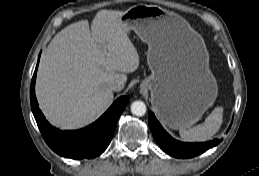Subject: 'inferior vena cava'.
I'll return each instance as SVG.
<instances>
[{
  "label": "inferior vena cava",
  "instance_id": "1",
  "mask_svg": "<svg viewBox=\"0 0 259 176\" xmlns=\"http://www.w3.org/2000/svg\"><path fill=\"white\" fill-rule=\"evenodd\" d=\"M110 88L113 91H121L124 88V83L122 81L116 80L110 84Z\"/></svg>",
  "mask_w": 259,
  "mask_h": 176
}]
</instances>
